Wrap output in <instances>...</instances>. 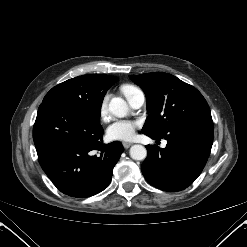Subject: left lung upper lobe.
Masks as SVG:
<instances>
[{
    "instance_id": "1",
    "label": "left lung upper lobe",
    "mask_w": 247,
    "mask_h": 247,
    "mask_svg": "<svg viewBox=\"0 0 247 247\" xmlns=\"http://www.w3.org/2000/svg\"><path fill=\"white\" fill-rule=\"evenodd\" d=\"M147 98L150 112L142 133L162 138L172 130L198 120H212L209 106L193 86L168 73L130 75Z\"/></svg>"
}]
</instances>
